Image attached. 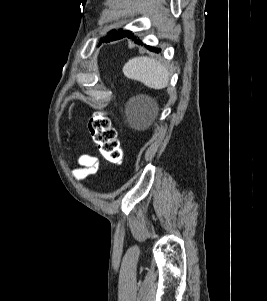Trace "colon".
Wrapping results in <instances>:
<instances>
[{
  "label": "colon",
  "instance_id": "1",
  "mask_svg": "<svg viewBox=\"0 0 267 301\" xmlns=\"http://www.w3.org/2000/svg\"><path fill=\"white\" fill-rule=\"evenodd\" d=\"M88 130L101 155L113 164H122L123 150L117 132L103 112L94 113L88 121Z\"/></svg>",
  "mask_w": 267,
  "mask_h": 301
}]
</instances>
